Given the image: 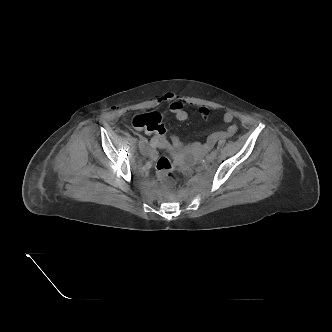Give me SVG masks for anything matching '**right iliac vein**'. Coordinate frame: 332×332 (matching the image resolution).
I'll list each match as a JSON object with an SVG mask.
<instances>
[{"mask_svg":"<svg viewBox=\"0 0 332 332\" xmlns=\"http://www.w3.org/2000/svg\"><path fill=\"white\" fill-rule=\"evenodd\" d=\"M138 147H139L140 152L145 151V144L143 142H139Z\"/></svg>","mask_w":332,"mask_h":332,"instance_id":"1","label":"right iliac vein"}]
</instances>
